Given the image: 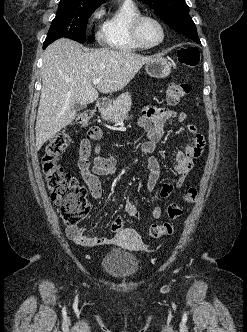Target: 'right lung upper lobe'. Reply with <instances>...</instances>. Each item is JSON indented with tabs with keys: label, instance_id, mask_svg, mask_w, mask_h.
<instances>
[{
	"label": "right lung upper lobe",
	"instance_id": "1",
	"mask_svg": "<svg viewBox=\"0 0 247 332\" xmlns=\"http://www.w3.org/2000/svg\"><path fill=\"white\" fill-rule=\"evenodd\" d=\"M75 1H86V2H95V3H104L107 0H75Z\"/></svg>",
	"mask_w": 247,
	"mask_h": 332
}]
</instances>
